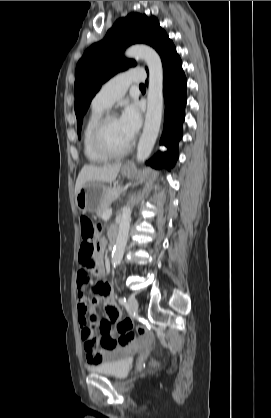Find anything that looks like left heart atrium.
<instances>
[{
  "label": "left heart atrium",
  "instance_id": "39dd6f15",
  "mask_svg": "<svg viewBox=\"0 0 271 418\" xmlns=\"http://www.w3.org/2000/svg\"><path fill=\"white\" fill-rule=\"evenodd\" d=\"M121 127L129 140H132L141 126V115L135 104H129L119 118Z\"/></svg>",
  "mask_w": 271,
  "mask_h": 418
}]
</instances>
